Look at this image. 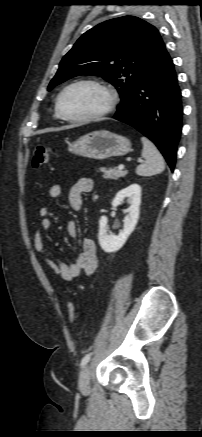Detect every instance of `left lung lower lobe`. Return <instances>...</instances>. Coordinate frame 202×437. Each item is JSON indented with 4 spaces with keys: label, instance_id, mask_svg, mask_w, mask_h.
<instances>
[{
    "label": "left lung lower lobe",
    "instance_id": "obj_1",
    "mask_svg": "<svg viewBox=\"0 0 202 437\" xmlns=\"http://www.w3.org/2000/svg\"><path fill=\"white\" fill-rule=\"evenodd\" d=\"M182 114L181 90L173 61L166 53L162 62L117 108L113 118L131 125L152 140L173 171Z\"/></svg>",
    "mask_w": 202,
    "mask_h": 437
}]
</instances>
